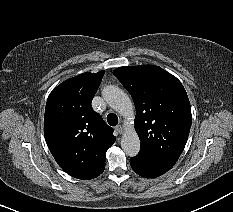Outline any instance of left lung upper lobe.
Here are the masks:
<instances>
[{"label":"left lung upper lobe","mask_w":233,"mask_h":212,"mask_svg":"<svg viewBox=\"0 0 233 212\" xmlns=\"http://www.w3.org/2000/svg\"><path fill=\"white\" fill-rule=\"evenodd\" d=\"M131 94L140 152L175 164L191 127V107L181 82L155 65L124 66L113 71Z\"/></svg>","instance_id":"left-lung-upper-lobe-1"}]
</instances>
